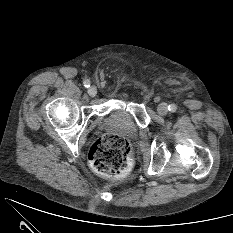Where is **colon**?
<instances>
[{"label": "colon", "mask_w": 233, "mask_h": 233, "mask_svg": "<svg viewBox=\"0 0 233 233\" xmlns=\"http://www.w3.org/2000/svg\"><path fill=\"white\" fill-rule=\"evenodd\" d=\"M132 162L131 146L126 138L105 134L89 150V163L104 178H117L126 173Z\"/></svg>", "instance_id": "colon-1"}]
</instances>
